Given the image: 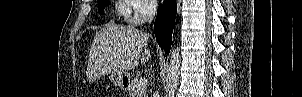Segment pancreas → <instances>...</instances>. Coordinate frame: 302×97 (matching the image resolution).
<instances>
[{"mask_svg": "<svg viewBox=\"0 0 302 97\" xmlns=\"http://www.w3.org/2000/svg\"><path fill=\"white\" fill-rule=\"evenodd\" d=\"M138 79H133L128 88L130 97H146V91L137 87Z\"/></svg>", "mask_w": 302, "mask_h": 97, "instance_id": "1", "label": "pancreas"}]
</instances>
